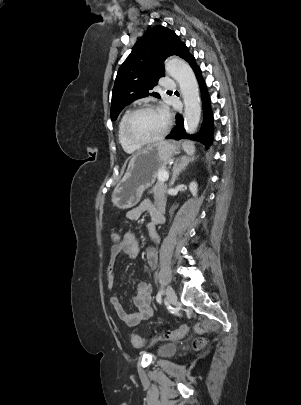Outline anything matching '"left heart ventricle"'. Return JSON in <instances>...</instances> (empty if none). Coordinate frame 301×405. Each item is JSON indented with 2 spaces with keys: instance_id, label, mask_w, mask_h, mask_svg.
Here are the masks:
<instances>
[{
  "instance_id": "b2bd125f",
  "label": "left heart ventricle",
  "mask_w": 301,
  "mask_h": 405,
  "mask_svg": "<svg viewBox=\"0 0 301 405\" xmlns=\"http://www.w3.org/2000/svg\"><path fill=\"white\" fill-rule=\"evenodd\" d=\"M165 116L156 110L143 111L133 117L130 133L139 140H147L157 136L164 128Z\"/></svg>"
}]
</instances>
